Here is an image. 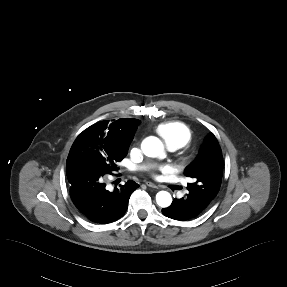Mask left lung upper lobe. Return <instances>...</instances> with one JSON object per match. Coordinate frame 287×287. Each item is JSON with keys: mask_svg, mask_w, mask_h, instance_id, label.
I'll list each match as a JSON object with an SVG mask.
<instances>
[{"mask_svg": "<svg viewBox=\"0 0 287 287\" xmlns=\"http://www.w3.org/2000/svg\"><path fill=\"white\" fill-rule=\"evenodd\" d=\"M223 156L213 133L205 138L197 158L186 167L184 174L193 179L188 183L189 193L210 203L217 195L223 176Z\"/></svg>", "mask_w": 287, "mask_h": 287, "instance_id": "obj_1", "label": "left lung upper lobe"}]
</instances>
